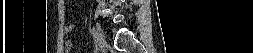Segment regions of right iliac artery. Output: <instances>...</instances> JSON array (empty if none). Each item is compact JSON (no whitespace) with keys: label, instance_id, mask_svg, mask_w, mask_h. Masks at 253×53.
I'll use <instances>...</instances> for the list:
<instances>
[{"label":"right iliac artery","instance_id":"1","mask_svg":"<svg viewBox=\"0 0 253 53\" xmlns=\"http://www.w3.org/2000/svg\"><path fill=\"white\" fill-rule=\"evenodd\" d=\"M91 35H92L93 40L95 41L96 47H97V37H96V33H95V29L94 28L91 29Z\"/></svg>","mask_w":253,"mask_h":53}]
</instances>
